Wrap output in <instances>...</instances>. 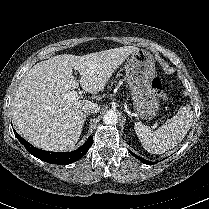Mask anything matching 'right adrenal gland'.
Instances as JSON below:
<instances>
[{
    "instance_id": "1",
    "label": "right adrenal gland",
    "mask_w": 209,
    "mask_h": 209,
    "mask_svg": "<svg viewBox=\"0 0 209 209\" xmlns=\"http://www.w3.org/2000/svg\"><path fill=\"white\" fill-rule=\"evenodd\" d=\"M87 116H88V114H84V115H83V120H82V123H83V124L85 123Z\"/></svg>"
}]
</instances>
